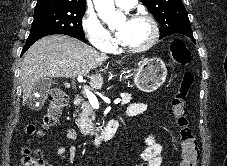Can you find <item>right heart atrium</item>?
Wrapping results in <instances>:
<instances>
[{"label":"right heart atrium","instance_id":"obj_1","mask_svg":"<svg viewBox=\"0 0 227 166\" xmlns=\"http://www.w3.org/2000/svg\"><path fill=\"white\" fill-rule=\"evenodd\" d=\"M81 26L92 46L98 49L112 47V39L109 33L94 13L86 12L82 18Z\"/></svg>","mask_w":227,"mask_h":166}]
</instances>
